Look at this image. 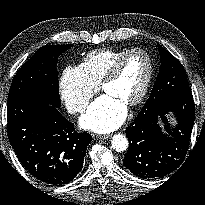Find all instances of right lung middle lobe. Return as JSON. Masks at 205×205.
Here are the masks:
<instances>
[{
    "instance_id": "right-lung-middle-lobe-1",
    "label": "right lung middle lobe",
    "mask_w": 205,
    "mask_h": 205,
    "mask_svg": "<svg viewBox=\"0 0 205 205\" xmlns=\"http://www.w3.org/2000/svg\"><path fill=\"white\" fill-rule=\"evenodd\" d=\"M72 45H46L22 65L13 78L8 99L23 95L60 108L58 89L57 61L58 57Z\"/></svg>"
}]
</instances>
